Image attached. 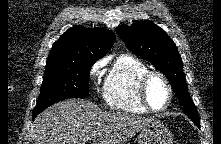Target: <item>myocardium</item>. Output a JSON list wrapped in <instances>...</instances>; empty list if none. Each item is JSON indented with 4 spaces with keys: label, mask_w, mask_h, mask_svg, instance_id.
<instances>
[{
    "label": "myocardium",
    "mask_w": 221,
    "mask_h": 144,
    "mask_svg": "<svg viewBox=\"0 0 221 144\" xmlns=\"http://www.w3.org/2000/svg\"><path fill=\"white\" fill-rule=\"evenodd\" d=\"M153 77H158V78L162 79V81L165 83L167 90H168L167 103L165 104L164 107H162L160 109L153 108L150 105L148 98H147V85H148L150 79ZM137 94H138L139 101L144 106V108H146L147 111L152 112V113L164 112L165 110H167L169 108V106L171 105L172 100H173V88H172V85H171L169 79L166 77L165 74H163L160 71H156V70H148L140 76V78L138 79V82H137Z\"/></svg>",
    "instance_id": "f54148a6"
}]
</instances>
